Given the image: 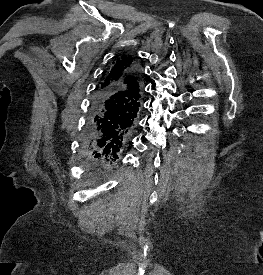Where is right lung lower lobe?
Listing matches in <instances>:
<instances>
[{
	"label": "right lung lower lobe",
	"mask_w": 263,
	"mask_h": 275,
	"mask_svg": "<svg viewBox=\"0 0 263 275\" xmlns=\"http://www.w3.org/2000/svg\"><path fill=\"white\" fill-rule=\"evenodd\" d=\"M130 73L139 79L137 66ZM128 96V90L124 88L103 90L94 95L83 145L95 153V157L102 155L106 159H117L128 142L137 120V114L130 113L126 105Z\"/></svg>",
	"instance_id": "1"
}]
</instances>
